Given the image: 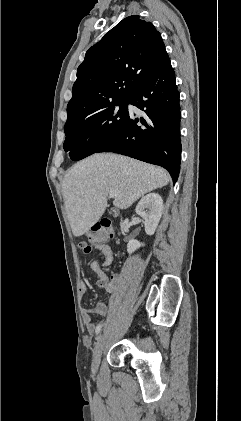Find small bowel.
<instances>
[{"label": "small bowel", "instance_id": "1", "mask_svg": "<svg viewBox=\"0 0 241 421\" xmlns=\"http://www.w3.org/2000/svg\"><path fill=\"white\" fill-rule=\"evenodd\" d=\"M96 249L99 250L104 257L103 267H108L113 262V251L108 244H100L96 246ZM91 270L96 274V285L99 288L104 289L108 293H114L116 291V275H112L111 279L108 278L107 274L103 268L99 265L97 261L90 263ZM88 291L87 284L85 282H80L79 284V294L84 296ZM109 313V306L105 302H99L94 308H85L82 311V318L85 324L86 331L93 335L96 333V328L99 325H96L92 322L91 315L98 314L100 316H106Z\"/></svg>", "mask_w": 241, "mask_h": 421}]
</instances>
